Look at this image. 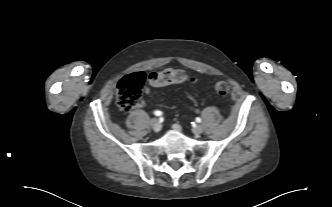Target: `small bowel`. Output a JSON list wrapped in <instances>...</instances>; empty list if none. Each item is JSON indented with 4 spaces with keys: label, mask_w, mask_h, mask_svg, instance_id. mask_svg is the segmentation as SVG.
Listing matches in <instances>:
<instances>
[{
    "label": "small bowel",
    "mask_w": 332,
    "mask_h": 207,
    "mask_svg": "<svg viewBox=\"0 0 332 207\" xmlns=\"http://www.w3.org/2000/svg\"><path fill=\"white\" fill-rule=\"evenodd\" d=\"M141 107H143V102L137 105L138 109L141 108Z\"/></svg>",
    "instance_id": "1"
}]
</instances>
